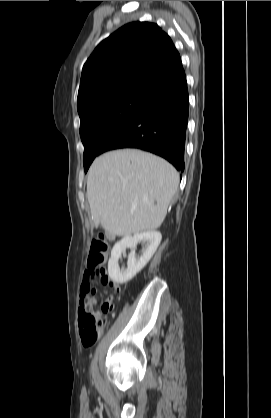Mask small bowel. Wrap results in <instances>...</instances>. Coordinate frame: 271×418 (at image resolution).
I'll return each instance as SVG.
<instances>
[{
  "mask_svg": "<svg viewBox=\"0 0 271 418\" xmlns=\"http://www.w3.org/2000/svg\"><path fill=\"white\" fill-rule=\"evenodd\" d=\"M103 284L113 288L115 291H119V286L116 283L112 282L111 280H108L107 282H103ZM87 288H91V285H90V283L88 281V278H87V271H85L84 277H83V283H82V286H81V298L83 297V294L85 293ZM95 304H96V299L95 298L91 299L88 303H85L82 300L81 309L83 307L92 308Z\"/></svg>",
  "mask_w": 271,
  "mask_h": 418,
  "instance_id": "small-bowel-1",
  "label": "small bowel"
}]
</instances>
